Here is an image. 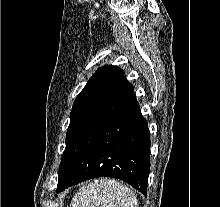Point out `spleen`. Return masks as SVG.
Here are the masks:
<instances>
[{
    "label": "spleen",
    "instance_id": "1",
    "mask_svg": "<svg viewBox=\"0 0 220 207\" xmlns=\"http://www.w3.org/2000/svg\"><path fill=\"white\" fill-rule=\"evenodd\" d=\"M70 207H138L130 188L113 179H96L84 185Z\"/></svg>",
    "mask_w": 220,
    "mask_h": 207
}]
</instances>
